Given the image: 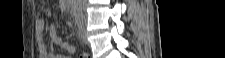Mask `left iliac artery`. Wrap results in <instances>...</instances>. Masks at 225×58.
Instances as JSON below:
<instances>
[{"mask_svg":"<svg viewBox=\"0 0 225 58\" xmlns=\"http://www.w3.org/2000/svg\"><path fill=\"white\" fill-rule=\"evenodd\" d=\"M76 23H77L78 26H79V24H80V17H79V15L76 17Z\"/></svg>","mask_w":225,"mask_h":58,"instance_id":"obj_1","label":"left iliac artery"}]
</instances>
